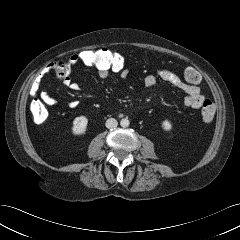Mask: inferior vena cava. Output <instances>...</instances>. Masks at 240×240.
<instances>
[{
	"instance_id": "602c4592",
	"label": "inferior vena cava",
	"mask_w": 240,
	"mask_h": 240,
	"mask_svg": "<svg viewBox=\"0 0 240 240\" xmlns=\"http://www.w3.org/2000/svg\"><path fill=\"white\" fill-rule=\"evenodd\" d=\"M106 127L108 128V129H111V128H115V127H117V125H118V122H117V120L116 119H114V118H109L107 121H106Z\"/></svg>"
}]
</instances>
